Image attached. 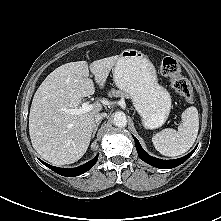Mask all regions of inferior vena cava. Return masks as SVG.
<instances>
[{
    "label": "inferior vena cava",
    "mask_w": 221,
    "mask_h": 221,
    "mask_svg": "<svg viewBox=\"0 0 221 221\" xmlns=\"http://www.w3.org/2000/svg\"><path fill=\"white\" fill-rule=\"evenodd\" d=\"M106 116H107L106 113H98V114L95 115L94 120H95L96 123L101 122V120L104 119Z\"/></svg>",
    "instance_id": "1"
}]
</instances>
